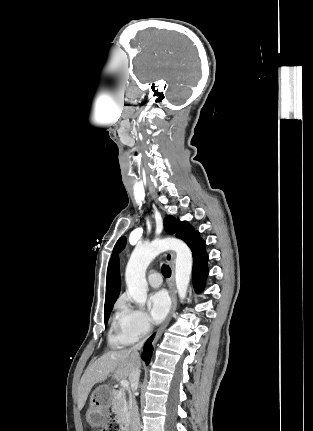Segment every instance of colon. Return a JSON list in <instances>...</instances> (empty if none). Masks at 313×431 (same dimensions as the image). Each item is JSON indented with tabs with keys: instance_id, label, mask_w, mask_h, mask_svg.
I'll return each instance as SVG.
<instances>
[{
	"instance_id": "1",
	"label": "colon",
	"mask_w": 313,
	"mask_h": 431,
	"mask_svg": "<svg viewBox=\"0 0 313 431\" xmlns=\"http://www.w3.org/2000/svg\"><path fill=\"white\" fill-rule=\"evenodd\" d=\"M102 431H121L120 425L115 419L109 420Z\"/></svg>"
}]
</instances>
